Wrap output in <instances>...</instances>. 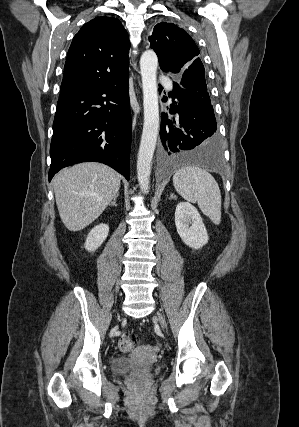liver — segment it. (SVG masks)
<instances>
[{
  "label": "liver",
  "instance_id": "6515ba94",
  "mask_svg": "<svg viewBox=\"0 0 299 427\" xmlns=\"http://www.w3.org/2000/svg\"><path fill=\"white\" fill-rule=\"evenodd\" d=\"M121 176L112 168L87 162L65 168L53 179L60 218L70 231L97 219L120 188Z\"/></svg>",
  "mask_w": 299,
  "mask_h": 427
}]
</instances>
